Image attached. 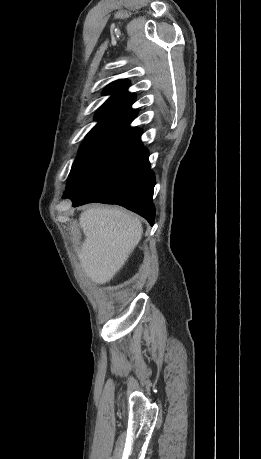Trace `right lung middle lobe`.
Here are the masks:
<instances>
[{"label": "right lung middle lobe", "instance_id": "1", "mask_svg": "<svg viewBox=\"0 0 261 459\" xmlns=\"http://www.w3.org/2000/svg\"><path fill=\"white\" fill-rule=\"evenodd\" d=\"M141 130L107 128L88 134L72 165L63 198L82 197L141 145Z\"/></svg>", "mask_w": 261, "mask_h": 459}]
</instances>
